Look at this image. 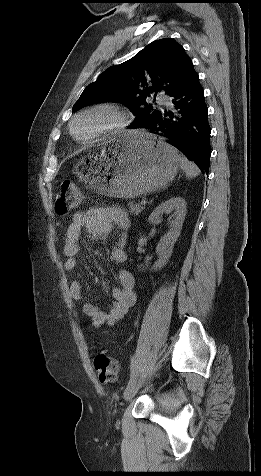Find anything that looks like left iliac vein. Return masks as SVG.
Masks as SVG:
<instances>
[{"mask_svg": "<svg viewBox=\"0 0 261 476\" xmlns=\"http://www.w3.org/2000/svg\"><path fill=\"white\" fill-rule=\"evenodd\" d=\"M141 385V380H135L131 385L127 386L124 391V399L130 401L138 392Z\"/></svg>", "mask_w": 261, "mask_h": 476, "instance_id": "1", "label": "left iliac vein"}]
</instances>
